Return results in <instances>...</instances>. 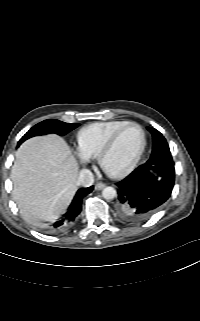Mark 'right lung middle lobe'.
I'll return each mask as SVG.
<instances>
[{
  "label": "right lung middle lobe",
  "mask_w": 200,
  "mask_h": 321,
  "mask_svg": "<svg viewBox=\"0 0 200 321\" xmlns=\"http://www.w3.org/2000/svg\"><path fill=\"white\" fill-rule=\"evenodd\" d=\"M78 123H65L56 119H48L45 121H42L32 127L19 141L18 145H20L25 140L38 136V135H44L48 133H55L58 135H65L68 132L72 131L76 127H78Z\"/></svg>",
  "instance_id": "dd1d6c3e"
}]
</instances>
